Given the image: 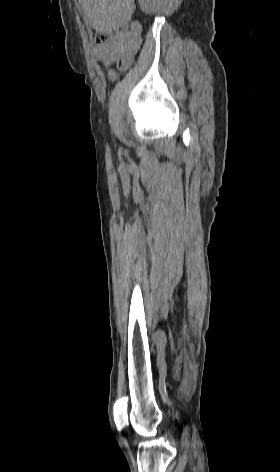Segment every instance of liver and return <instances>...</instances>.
<instances>
[{
  "instance_id": "liver-1",
  "label": "liver",
  "mask_w": 280,
  "mask_h": 472,
  "mask_svg": "<svg viewBox=\"0 0 280 472\" xmlns=\"http://www.w3.org/2000/svg\"><path fill=\"white\" fill-rule=\"evenodd\" d=\"M86 21L101 33L126 25L135 11L134 0H79Z\"/></svg>"
}]
</instances>
